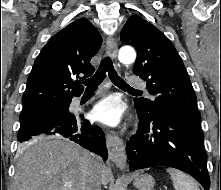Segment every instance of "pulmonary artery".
I'll list each match as a JSON object with an SVG mask.
<instances>
[{
	"instance_id": "e3ab8cb5",
	"label": "pulmonary artery",
	"mask_w": 221,
	"mask_h": 190,
	"mask_svg": "<svg viewBox=\"0 0 221 190\" xmlns=\"http://www.w3.org/2000/svg\"><path fill=\"white\" fill-rule=\"evenodd\" d=\"M126 83L133 88H143L145 85L144 81L137 76H129Z\"/></svg>"
}]
</instances>
